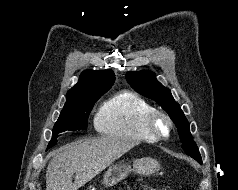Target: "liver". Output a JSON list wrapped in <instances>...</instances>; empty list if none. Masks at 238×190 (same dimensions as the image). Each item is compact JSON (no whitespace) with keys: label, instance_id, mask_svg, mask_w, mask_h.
Returning <instances> with one entry per match:
<instances>
[{"label":"liver","instance_id":"6515ba94","mask_svg":"<svg viewBox=\"0 0 238 190\" xmlns=\"http://www.w3.org/2000/svg\"><path fill=\"white\" fill-rule=\"evenodd\" d=\"M136 145L138 141L122 137L68 144L60 148L48 164L46 190H77Z\"/></svg>","mask_w":238,"mask_h":190}]
</instances>
